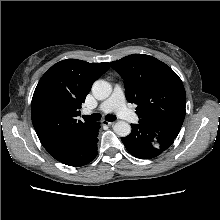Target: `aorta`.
Listing matches in <instances>:
<instances>
[{"label":"aorta","instance_id":"obj_1","mask_svg":"<svg viewBox=\"0 0 220 220\" xmlns=\"http://www.w3.org/2000/svg\"><path fill=\"white\" fill-rule=\"evenodd\" d=\"M92 92L97 99L104 100L110 96L112 86L107 81L97 80L92 86ZM113 129L114 132L120 137H126L131 133V126L125 121L116 122Z\"/></svg>","mask_w":220,"mask_h":220}]
</instances>
